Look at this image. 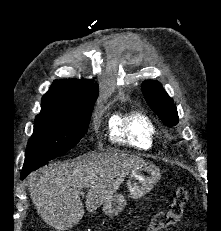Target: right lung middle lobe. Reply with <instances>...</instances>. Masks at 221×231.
<instances>
[{"label":"right lung middle lobe","mask_w":221,"mask_h":231,"mask_svg":"<svg viewBox=\"0 0 221 231\" xmlns=\"http://www.w3.org/2000/svg\"><path fill=\"white\" fill-rule=\"evenodd\" d=\"M93 105L73 110H41L35 118L23 168L53 160L77 145L87 131Z\"/></svg>","instance_id":"obj_1"}]
</instances>
